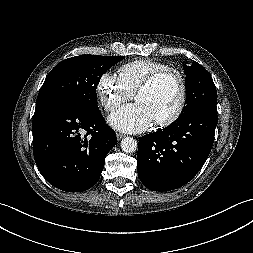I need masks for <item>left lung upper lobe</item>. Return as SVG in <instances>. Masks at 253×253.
<instances>
[{"instance_id": "1", "label": "left lung upper lobe", "mask_w": 253, "mask_h": 253, "mask_svg": "<svg viewBox=\"0 0 253 253\" xmlns=\"http://www.w3.org/2000/svg\"><path fill=\"white\" fill-rule=\"evenodd\" d=\"M183 69L186 75L187 97L182 113L175 122L184 119L197 109L210 108L216 110L217 108V91L208 71L196 61L192 65L184 64Z\"/></svg>"}]
</instances>
